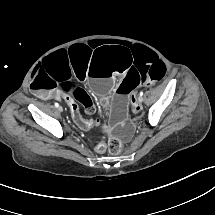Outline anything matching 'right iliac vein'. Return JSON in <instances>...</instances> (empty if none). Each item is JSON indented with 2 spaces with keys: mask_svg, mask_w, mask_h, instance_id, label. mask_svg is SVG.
Here are the masks:
<instances>
[{
  "mask_svg": "<svg viewBox=\"0 0 215 215\" xmlns=\"http://www.w3.org/2000/svg\"><path fill=\"white\" fill-rule=\"evenodd\" d=\"M57 109H58L59 112L63 111V108L61 106H59Z\"/></svg>",
  "mask_w": 215,
  "mask_h": 215,
  "instance_id": "obj_1",
  "label": "right iliac vein"
}]
</instances>
